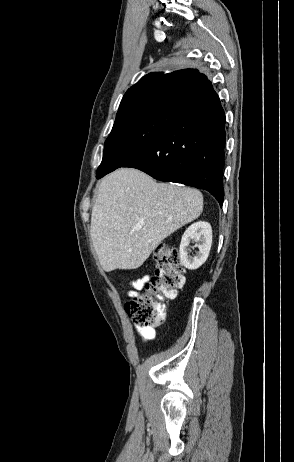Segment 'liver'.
Wrapping results in <instances>:
<instances>
[{
	"mask_svg": "<svg viewBox=\"0 0 294 462\" xmlns=\"http://www.w3.org/2000/svg\"><path fill=\"white\" fill-rule=\"evenodd\" d=\"M203 210L200 191L157 183L149 175L121 168L100 183L90 234L106 272L140 267L170 234Z\"/></svg>",
	"mask_w": 294,
	"mask_h": 462,
	"instance_id": "1",
	"label": "liver"
}]
</instances>
